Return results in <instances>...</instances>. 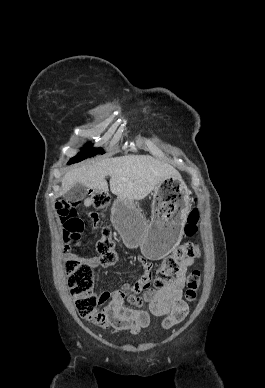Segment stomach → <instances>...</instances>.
Wrapping results in <instances>:
<instances>
[{
	"label": "stomach",
	"instance_id": "0dacf381",
	"mask_svg": "<svg viewBox=\"0 0 265 388\" xmlns=\"http://www.w3.org/2000/svg\"><path fill=\"white\" fill-rule=\"evenodd\" d=\"M189 196L181 177L171 176L154 191L151 222L131 201L122 198L114 202L111 218L127 247H140L147 258L159 260L180 242L191 206Z\"/></svg>",
	"mask_w": 265,
	"mask_h": 388
}]
</instances>
